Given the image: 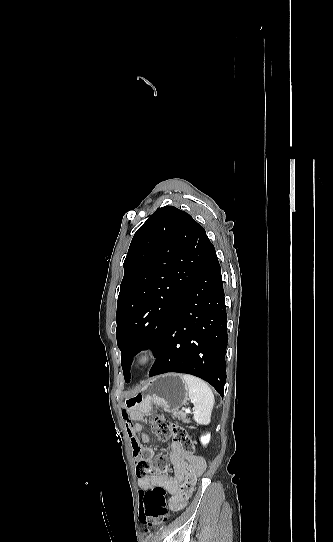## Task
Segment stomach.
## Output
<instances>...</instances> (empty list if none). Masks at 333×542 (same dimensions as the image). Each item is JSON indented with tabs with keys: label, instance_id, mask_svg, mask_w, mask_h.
Returning <instances> with one entry per match:
<instances>
[{
	"label": "stomach",
	"instance_id": "0dacf381",
	"mask_svg": "<svg viewBox=\"0 0 333 542\" xmlns=\"http://www.w3.org/2000/svg\"><path fill=\"white\" fill-rule=\"evenodd\" d=\"M188 390L179 374H165L148 380L140 392L126 398L128 410H138L143 416H150L153 406L163 408L164 412H178L187 404Z\"/></svg>",
	"mask_w": 333,
	"mask_h": 542
}]
</instances>
